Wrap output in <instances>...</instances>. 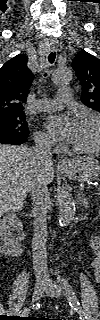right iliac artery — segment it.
I'll return each instance as SVG.
<instances>
[{
	"instance_id": "82829eb1",
	"label": "right iliac artery",
	"mask_w": 100,
	"mask_h": 320,
	"mask_svg": "<svg viewBox=\"0 0 100 320\" xmlns=\"http://www.w3.org/2000/svg\"><path fill=\"white\" fill-rule=\"evenodd\" d=\"M39 307H40V304H39V303H36V304L33 305V308L38 309ZM29 311H30L29 308H24L22 311L19 312V315H20V316H24V315H26Z\"/></svg>"
}]
</instances>
